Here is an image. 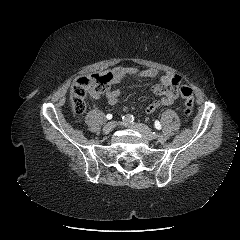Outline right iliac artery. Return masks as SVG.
Here are the masks:
<instances>
[{
  "mask_svg": "<svg viewBox=\"0 0 240 240\" xmlns=\"http://www.w3.org/2000/svg\"><path fill=\"white\" fill-rule=\"evenodd\" d=\"M124 123H132L134 121V117L131 114H126L122 117Z\"/></svg>",
  "mask_w": 240,
  "mask_h": 240,
  "instance_id": "right-iliac-artery-1",
  "label": "right iliac artery"
}]
</instances>
